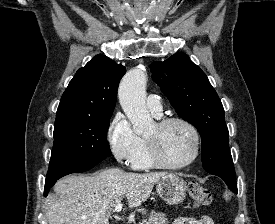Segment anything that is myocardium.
Returning <instances> with one entry per match:
<instances>
[{
	"label": "myocardium",
	"mask_w": 275,
	"mask_h": 224,
	"mask_svg": "<svg viewBox=\"0 0 275 224\" xmlns=\"http://www.w3.org/2000/svg\"><path fill=\"white\" fill-rule=\"evenodd\" d=\"M175 122L185 125L191 131V133L193 135V140H194L193 155L190 159H188L187 161H185L183 163H180V164L169 163L162 156L158 145L154 141L145 137V143H146L148 156L154 166L164 168V169H171V170L183 169V168H186V167L190 166L191 164H193L200 154V144H201L200 143V134H199L198 129L195 127V125L192 122H190L186 118L180 117V116H165V117L159 118L155 124L158 128L162 129V128L166 127L167 125H169L171 123H175Z\"/></svg>",
	"instance_id": "obj_1"
}]
</instances>
